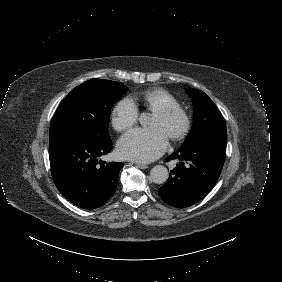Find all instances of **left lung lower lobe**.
<instances>
[{"instance_id": "0a47b994", "label": "left lung lower lobe", "mask_w": 282, "mask_h": 282, "mask_svg": "<svg viewBox=\"0 0 282 282\" xmlns=\"http://www.w3.org/2000/svg\"><path fill=\"white\" fill-rule=\"evenodd\" d=\"M227 131L206 132L167 161L179 159L176 169L170 172L167 182L158 190L160 197L176 208L189 207L202 200L215 186L226 155Z\"/></svg>"}]
</instances>
